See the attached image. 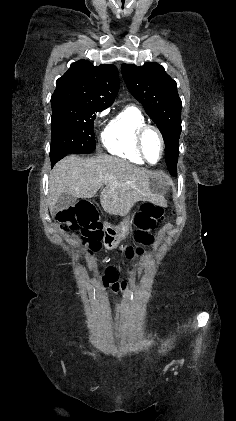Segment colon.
Instances as JSON below:
<instances>
[{
  "instance_id": "1",
  "label": "colon",
  "mask_w": 236,
  "mask_h": 421,
  "mask_svg": "<svg viewBox=\"0 0 236 421\" xmlns=\"http://www.w3.org/2000/svg\"><path fill=\"white\" fill-rule=\"evenodd\" d=\"M164 218V210L162 207L152 203L142 204L140 211L135 217V224L138 228L136 232V241L139 245H149L152 242V236L149 233L156 226V223ZM58 221L74 232H79L82 243L86 245L88 251H96L100 247L102 238V224L97 219L95 209L87 204L71 207L58 213ZM142 247L127 248V257L133 259L141 255ZM104 284L117 291L124 289L126 282H119L118 274L113 267L105 270L103 277Z\"/></svg>"
}]
</instances>
